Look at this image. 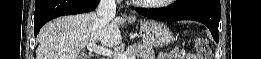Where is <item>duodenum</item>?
Here are the masks:
<instances>
[{"instance_id": "duodenum-1", "label": "duodenum", "mask_w": 261, "mask_h": 59, "mask_svg": "<svg viewBox=\"0 0 261 59\" xmlns=\"http://www.w3.org/2000/svg\"><path fill=\"white\" fill-rule=\"evenodd\" d=\"M94 58H96V59H101L100 57H94Z\"/></svg>"}]
</instances>
